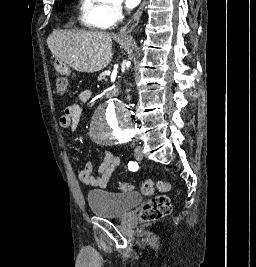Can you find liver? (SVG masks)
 <instances>
[{"instance_id": "obj_1", "label": "liver", "mask_w": 256, "mask_h": 267, "mask_svg": "<svg viewBox=\"0 0 256 267\" xmlns=\"http://www.w3.org/2000/svg\"><path fill=\"white\" fill-rule=\"evenodd\" d=\"M117 42H123L113 36ZM112 36L107 32L87 30H53L47 38V46L62 64H68L77 72H99L112 62Z\"/></svg>"}]
</instances>
